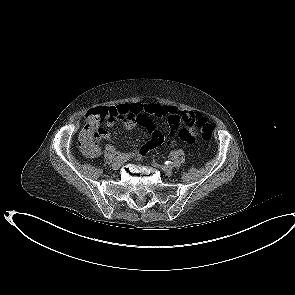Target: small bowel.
Listing matches in <instances>:
<instances>
[{
	"label": "small bowel",
	"instance_id": "obj_1",
	"mask_svg": "<svg viewBox=\"0 0 295 295\" xmlns=\"http://www.w3.org/2000/svg\"><path fill=\"white\" fill-rule=\"evenodd\" d=\"M147 115L164 118L169 127V134L164 135ZM91 116L94 119H103L92 120L86 117L87 125L81 131L85 137L91 139L90 151H84L85 155L91 158L100 155V141L109 139L108 132L101 127L102 124L111 127L114 125L115 120L119 119L122 120L127 130H132L138 124L146 128L151 133V137L148 143L133 154V156H141L150 149L159 148L162 144L174 145L175 136L182 141L193 142L194 130L192 123L194 119L200 117L197 113L182 111L173 106L161 105L155 102L120 104L111 107L102 106L94 108L91 111ZM182 124L185 127H181Z\"/></svg>",
	"mask_w": 295,
	"mask_h": 295
}]
</instances>
